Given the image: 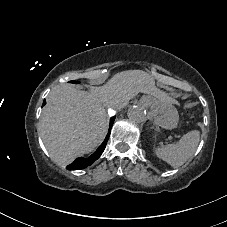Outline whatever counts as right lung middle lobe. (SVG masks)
I'll list each match as a JSON object with an SVG mask.
<instances>
[{"mask_svg":"<svg viewBox=\"0 0 227 227\" xmlns=\"http://www.w3.org/2000/svg\"><path fill=\"white\" fill-rule=\"evenodd\" d=\"M72 83H78V82H75V81H71Z\"/></svg>","mask_w":227,"mask_h":227,"instance_id":"dd1d6c3e","label":"right lung middle lobe"}]
</instances>
